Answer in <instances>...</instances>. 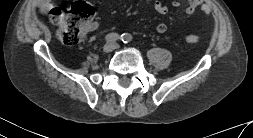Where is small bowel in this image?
<instances>
[{"label": "small bowel", "mask_w": 253, "mask_h": 138, "mask_svg": "<svg viewBox=\"0 0 253 138\" xmlns=\"http://www.w3.org/2000/svg\"><path fill=\"white\" fill-rule=\"evenodd\" d=\"M53 6L52 0H38L37 8L40 12H46ZM154 9L161 13L165 14L168 11L167 5L162 0H153ZM172 7L174 9H179L181 7V3L178 0H174L172 2ZM198 8H201L202 12L204 13L207 18L210 14V7L202 2V0H189L188 5L185 7L184 12L186 14L194 13ZM97 27L96 23H92L90 25V29H94ZM155 30L159 34H164L168 30V25L165 22H160L156 25Z\"/></svg>", "instance_id": "obj_1"}]
</instances>
